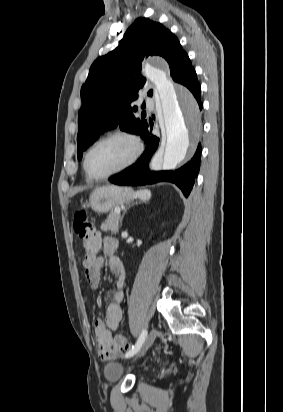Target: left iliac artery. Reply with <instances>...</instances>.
Wrapping results in <instances>:
<instances>
[{"mask_svg":"<svg viewBox=\"0 0 283 412\" xmlns=\"http://www.w3.org/2000/svg\"><path fill=\"white\" fill-rule=\"evenodd\" d=\"M147 336V330H142L136 344L132 346V348L125 354V358L132 357L134 354L138 352V350L141 348L145 338Z\"/></svg>","mask_w":283,"mask_h":412,"instance_id":"44dca946","label":"left iliac artery"}]
</instances>
